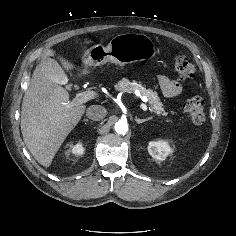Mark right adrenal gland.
<instances>
[{
  "mask_svg": "<svg viewBox=\"0 0 236 236\" xmlns=\"http://www.w3.org/2000/svg\"><path fill=\"white\" fill-rule=\"evenodd\" d=\"M83 121L92 123V121H89L88 119H84Z\"/></svg>",
  "mask_w": 236,
  "mask_h": 236,
  "instance_id": "right-adrenal-gland-1",
  "label": "right adrenal gland"
}]
</instances>
